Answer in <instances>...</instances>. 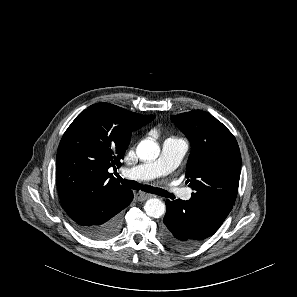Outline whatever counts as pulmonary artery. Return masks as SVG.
I'll list each match as a JSON object with an SVG mask.
<instances>
[{
	"mask_svg": "<svg viewBox=\"0 0 297 297\" xmlns=\"http://www.w3.org/2000/svg\"><path fill=\"white\" fill-rule=\"evenodd\" d=\"M187 150L188 143L186 140L175 137L168 138L164 141L161 154L156 161L123 170V174L131 179L143 180L167 175L178 167ZM165 190L184 200L191 196L190 189L173 184L167 186Z\"/></svg>",
	"mask_w": 297,
	"mask_h": 297,
	"instance_id": "1",
	"label": "pulmonary artery"
}]
</instances>
